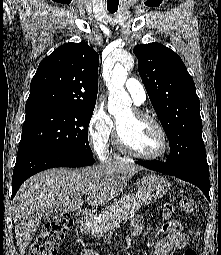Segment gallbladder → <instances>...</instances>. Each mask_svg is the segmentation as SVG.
<instances>
[{
    "mask_svg": "<svg viewBox=\"0 0 221 255\" xmlns=\"http://www.w3.org/2000/svg\"><path fill=\"white\" fill-rule=\"evenodd\" d=\"M56 213H57L56 210H49V211H47V212L44 214L43 219H44V220H49V219L53 218V216H54Z\"/></svg>",
    "mask_w": 221,
    "mask_h": 255,
    "instance_id": "obj_1",
    "label": "gallbladder"
}]
</instances>
